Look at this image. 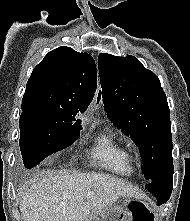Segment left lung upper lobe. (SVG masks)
<instances>
[{"label":"left lung upper lobe","mask_w":190,"mask_h":221,"mask_svg":"<svg viewBox=\"0 0 190 221\" xmlns=\"http://www.w3.org/2000/svg\"><path fill=\"white\" fill-rule=\"evenodd\" d=\"M98 62L107 116L139 147L149 184L173 163L166 95L158 77L134 56L100 54Z\"/></svg>","instance_id":"obj_1"}]
</instances>
